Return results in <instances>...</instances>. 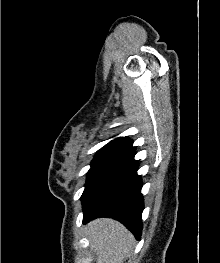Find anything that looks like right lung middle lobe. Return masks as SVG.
Returning a JSON list of instances; mask_svg holds the SVG:
<instances>
[{"mask_svg": "<svg viewBox=\"0 0 220 263\" xmlns=\"http://www.w3.org/2000/svg\"><path fill=\"white\" fill-rule=\"evenodd\" d=\"M115 156L112 153L98 152L91 163V168L88 171L85 190L89 187L94 178L98 175L100 170ZM84 194V193H83Z\"/></svg>", "mask_w": 220, "mask_h": 263, "instance_id": "obj_1", "label": "right lung middle lobe"}]
</instances>
